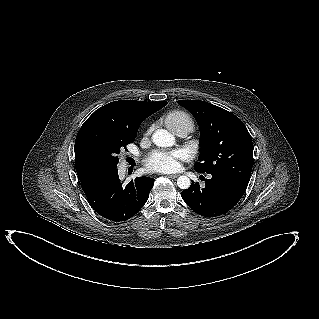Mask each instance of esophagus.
I'll return each instance as SVG.
<instances>
[{
    "label": "esophagus",
    "instance_id": "1",
    "mask_svg": "<svg viewBox=\"0 0 319 319\" xmlns=\"http://www.w3.org/2000/svg\"><path fill=\"white\" fill-rule=\"evenodd\" d=\"M167 176L170 178H177L179 175L178 174H168Z\"/></svg>",
    "mask_w": 319,
    "mask_h": 319
}]
</instances>
